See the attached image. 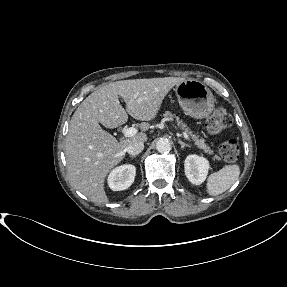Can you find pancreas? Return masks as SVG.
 Returning <instances> with one entry per match:
<instances>
[{"label": "pancreas", "instance_id": "1", "mask_svg": "<svg viewBox=\"0 0 287 287\" xmlns=\"http://www.w3.org/2000/svg\"><path fill=\"white\" fill-rule=\"evenodd\" d=\"M164 117L171 121L176 119L178 127L181 128L185 133H187L191 137V139L195 142V145L198 148L202 149L205 153L209 155L214 154L213 150H211V148L208 145H206L205 140L203 138H199V136H197L196 134H193V132L187 127L185 123L182 122V120L179 119L178 116L172 114L170 111H166L164 113ZM214 159H219V156L215 155L213 157V160Z\"/></svg>", "mask_w": 287, "mask_h": 287}]
</instances>
